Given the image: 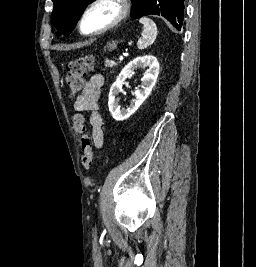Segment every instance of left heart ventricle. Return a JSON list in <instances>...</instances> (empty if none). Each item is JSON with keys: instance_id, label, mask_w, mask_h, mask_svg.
I'll return each instance as SVG.
<instances>
[{"instance_id": "obj_1", "label": "left heart ventricle", "mask_w": 256, "mask_h": 267, "mask_svg": "<svg viewBox=\"0 0 256 267\" xmlns=\"http://www.w3.org/2000/svg\"><path fill=\"white\" fill-rule=\"evenodd\" d=\"M116 9L110 5H101L91 10L85 17L83 29L96 32L106 27L116 16Z\"/></svg>"}]
</instances>
